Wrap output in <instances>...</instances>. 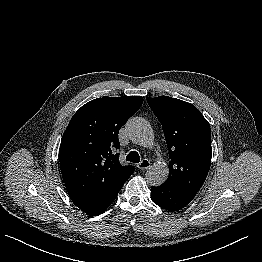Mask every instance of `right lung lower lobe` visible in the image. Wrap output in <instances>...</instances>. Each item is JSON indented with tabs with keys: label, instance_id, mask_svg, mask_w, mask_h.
<instances>
[{
	"label": "right lung lower lobe",
	"instance_id": "obj_1",
	"mask_svg": "<svg viewBox=\"0 0 262 262\" xmlns=\"http://www.w3.org/2000/svg\"><path fill=\"white\" fill-rule=\"evenodd\" d=\"M116 197H114L109 202L103 204V205H76L78 208H80L82 211H84L87 215L94 216L97 214H100L104 212L109 205L115 200Z\"/></svg>",
	"mask_w": 262,
	"mask_h": 262
}]
</instances>
